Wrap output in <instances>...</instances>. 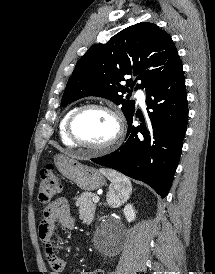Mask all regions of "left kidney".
I'll return each mask as SVG.
<instances>
[{
  "mask_svg": "<svg viewBox=\"0 0 215 274\" xmlns=\"http://www.w3.org/2000/svg\"><path fill=\"white\" fill-rule=\"evenodd\" d=\"M123 213H124L128 222H133L135 220L136 212L133 208V205H131V204L126 205L123 210Z\"/></svg>",
  "mask_w": 215,
  "mask_h": 274,
  "instance_id": "5707ae66",
  "label": "left kidney"
}]
</instances>
